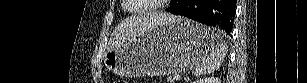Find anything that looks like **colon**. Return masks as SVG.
Wrapping results in <instances>:
<instances>
[{"label": "colon", "mask_w": 307, "mask_h": 83, "mask_svg": "<svg viewBox=\"0 0 307 83\" xmlns=\"http://www.w3.org/2000/svg\"><path fill=\"white\" fill-rule=\"evenodd\" d=\"M117 82H118V83H124L125 81H123V80H118Z\"/></svg>", "instance_id": "obj_1"}]
</instances>
